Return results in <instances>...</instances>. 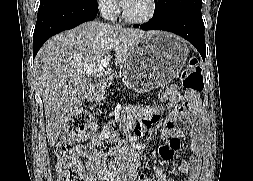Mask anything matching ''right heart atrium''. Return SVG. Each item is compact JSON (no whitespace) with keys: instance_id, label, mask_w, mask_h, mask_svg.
Listing matches in <instances>:
<instances>
[{"instance_id":"right-heart-atrium-1","label":"right heart atrium","mask_w":253,"mask_h":181,"mask_svg":"<svg viewBox=\"0 0 253 181\" xmlns=\"http://www.w3.org/2000/svg\"><path fill=\"white\" fill-rule=\"evenodd\" d=\"M96 4L99 12L107 19L114 18L119 11L117 0H96Z\"/></svg>"}]
</instances>
